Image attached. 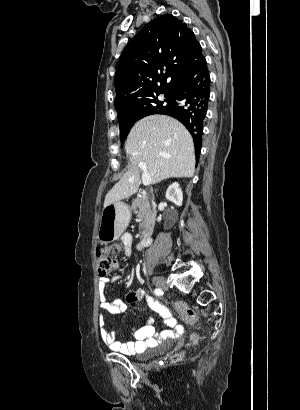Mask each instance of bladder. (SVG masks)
I'll return each mask as SVG.
<instances>
[{
  "label": "bladder",
  "mask_w": 300,
  "mask_h": 410,
  "mask_svg": "<svg viewBox=\"0 0 300 410\" xmlns=\"http://www.w3.org/2000/svg\"><path fill=\"white\" fill-rule=\"evenodd\" d=\"M170 343H171V341H167L166 343H164V345L162 346L161 349L167 348ZM151 354H152V351H146V352L140 354V355L138 356V358H139V359H146V358L150 357Z\"/></svg>",
  "instance_id": "obj_1"
}]
</instances>
